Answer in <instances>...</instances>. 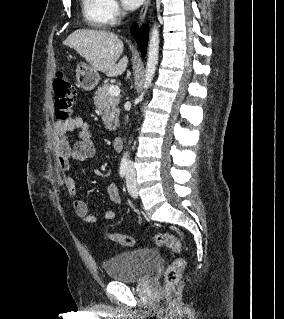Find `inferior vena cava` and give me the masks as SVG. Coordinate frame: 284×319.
Masks as SVG:
<instances>
[{"label": "inferior vena cava", "mask_w": 284, "mask_h": 319, "mask_svg": "<svg viewBox=\"0 0 284 319\" xmlns=\"http://www.w3.org/2000/svg\"><path fill=\"white\" fill-rule=\"evenodd\" d=\"M128 166L132 167V162L131 161L128 162Z\"/></svg>", "instance_id": "obj_1"}]
</instances>
